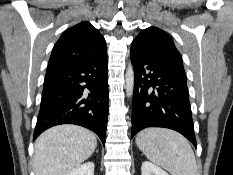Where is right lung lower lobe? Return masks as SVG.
Instances as JSON below:
<instances>
[{"instance_id":"1","label":"right lung lower lobe","mask_w":233,"mask_h":175,"mask_svg":"<svg viewBox=\"0 0 233 175\" xmlns=\"http://www.w3.org/2000/svg\"><path fill=\"white\" fill-rule=\"evenodd\" d=\"M107 52L44 79L35 140L46 129L76 124L94 131L103 145L108 118Z\"/></svg>"}]
</instances>
